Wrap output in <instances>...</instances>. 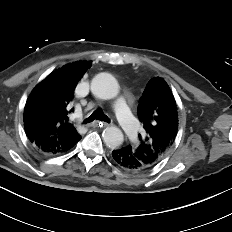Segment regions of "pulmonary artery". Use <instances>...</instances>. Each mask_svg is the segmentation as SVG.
<instances>
[{
	"label": "pulmonary artery",
	"mask_w": 232,
	"mask_h": 232,
	"mask_svg": "<svg viewBox=\"0 0 232 232\" xmlns=\"http://www.w3.org/2000/svg\"><path fill=\"white\" fill-rule=\"evenodd\" d=\"M114 112L127 136L131 140L136 141L138 123L127 105V97L121 96L118 99V101L114 105Z\"/></svg>",
	"instance_id": "pulmonary-artery-1"
}]
</instances>
